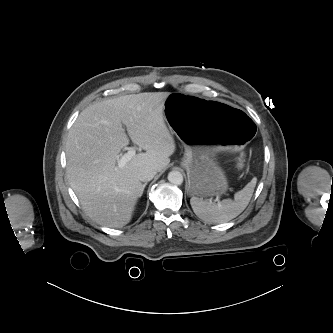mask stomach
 <instances>
[{
    "label": "stomach",
    "instance_id": "1",
    "mask_svg": "<svg viewBox=\"0 0 333 333\" xmlns=\"http://www.w3.org/2000/svg\"><path fill=\"white\" fill-rule=\"evenodd\" d=\"M165 120L182 142L189 158L188 193L207 197L228 189L225 172L216 156L235 151L255 134L252 119L224 101L170 93L164 103Z\"/></svg>",
    "mask_w": 333,
    "mask_h": 333
}]
</instances>
